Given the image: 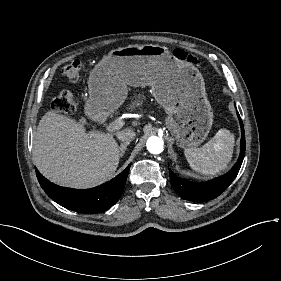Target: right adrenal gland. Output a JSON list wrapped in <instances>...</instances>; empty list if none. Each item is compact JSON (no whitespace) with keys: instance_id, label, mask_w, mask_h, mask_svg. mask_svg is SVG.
Instances as JSON below:
<instances>
[{"instance_id":"1","label":"right adrenal gland","mask_w":281,"mask_h":281,"mask_svg":"<svg viewBox=\"0 0 281 281\" xmlns=\"http://www.w3.org/2000/svg\"><path fill=\"white\" fill-rule=\"evenodd\" d=\"M128 145H129V141H125L119 145L118 147L119 158L123 157Z\"/></svg>"}]
</instances>
